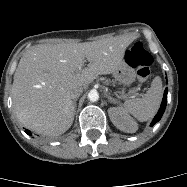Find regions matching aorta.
<instances>
[{"instance_id": "762f6f07", "label": "aorta", "mask_w": 187, "mask_h": 187, "mask_svg": "<svg viewBox=\"0 0 187 187\" xmlns=\"http://www.w3.org/2000/svg\"><path fill=\"white\" fill-rule=\"evenodd\" d=\"M88 99L92 102H96L99 99V94L97 91L92 90L88 93Z\"/></svg>"}]
</instances>
